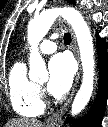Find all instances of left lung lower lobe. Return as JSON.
Here are the masks:
<instances>
[{
    "label": "left lung lower lobe",
    "instance_id": "obj_1",
    "mask_svg": "<svg viewBox=\"0 0 108 127\" xmlns=\"http://www.w3.org/2000/svg\"><path fill=\"white\" fill-rule=\"evenodd\" d=\"M107 44L97 35L98 65L100 71L99 88L95 102L88 115L74 123L75 127H100V121L108 96V54Z\"/></svg>",
    "mask_w": 108,
    "mask_h": 127
}]
</instances>
